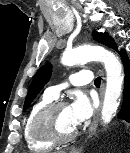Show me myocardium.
<instances>
[{"label":"myocardium","instance_id":"myocardium-1","mask_svg":"<svg viewBox=\"0 0 130 153\" xmlns=\"http://www.w3.org/2000/svg\"><path fill=\"white\" fill-rule=\"evenodd\" d=\"M64 106H67L65 101H53L41 108L33 119V132L53 143H67L73 140L77 135V128L69 133H61L56 126V114Z\"/></svg>","mask_w":130,"mask_h":153}]
</instances>
